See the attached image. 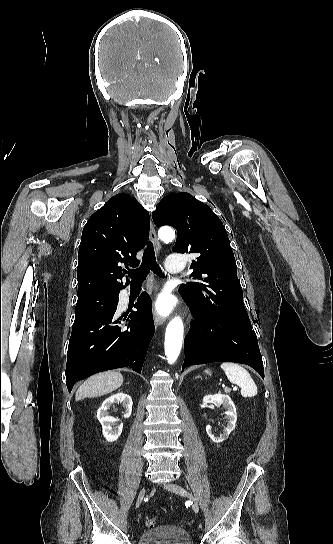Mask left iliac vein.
Returning <instances> with one entry per match:
<instances>
[{
    "label": "left iliac vein",
    "mask_w": 333,
    "mask_h": 544,
    "mask_svg": "<svg viewBox=\"0 0 333 544\" xmlns=\"http://www.w3.org/2000/svg\"><path fill=\"white\" fill-rule=\"evenodd\" d=\"M164 488L170 492L176 493L181 496H185L190 499L192 503V509L195 513L199 512V505L196 501V499L193 497L191 493H189L185 488L182 486L175 484V483H166L163 485Z\"/></svg>",
    "instance_id": "1"
}]
</instances>
